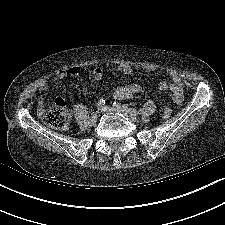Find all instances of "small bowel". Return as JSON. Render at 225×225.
<instances>
[{"mask_svg":"<svg viewBox=\"0 0 225 225\" xmlns=\"http://www.w3.org/2000/svg\"><path fill=\"white\" fill-rule=\"evenodd\" d=\"M119 71L127 76H132L133 71L129 65L123 64L119 66ZM80 74V68L77 66H72L68 69H59L55 73V77L59 80L70 77H77ZM92 77L96 80L102 78V70L100 68H95L92 71ZM168 88V84L165 81H161L159 83L160 90H166ZM49 89L48 83L46 81H41L38 84V91L41 93L46 92ZM170 89L172 91L173 100L175 103L180 104L183 101V84L178 77L172 78V83L170 85ZM141 91V87L137 84H128L124 86H119L115 88L113 92V96L116 99L125 100L131 98L134 94H137ZM58 98L57 100H60ZM38 104L40 107L44 106V99L40 97L38 99Z\"/></svg>","mask_w":225,"mask_h":225,"instance_id":"small-bowel-1","label":"small bowel"}]
</instances>
